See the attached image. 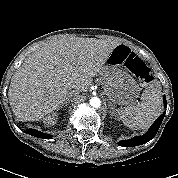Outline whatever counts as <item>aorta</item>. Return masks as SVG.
Listing matches in <instances>:
<instances>
[{
  "label": "aorta",
  "mask_w": 178,
  "mask_h": 178,
  "mask_svg": "<svg viewBox=\"0 0 178 178\" xmlns=\"http://www.w3.org/2000/svg\"><path fill=\"white\" fill-rule=\"evenodd\" d=\"M100 103H101V101H100V99L97 98V97H92V98L90 99V105H91L92 107H94V108L100 107Z\"/></svg>",
  "instance_id": "1"
}]
</instances>
